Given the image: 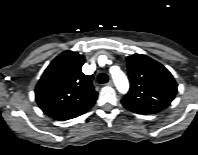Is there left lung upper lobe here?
<instances>
[{
  "instance_id": "obj_1",
  "label": "left lung upper lobe",
  "mask_w": 198,
  "mask_h": 155,
  "mask_svg": "<svg viewBox=\"0 0 198 155\" xmlns=\"http://www.w3.org/2000/svg\"><path fill=\"white\" fill-rule=\"evenodd\" d=\"M130 90L122 99L123 106L138 114H153L170 105L177 93L172 74L146 55L126 58Z\"/></svg>"
}]
</instances>
